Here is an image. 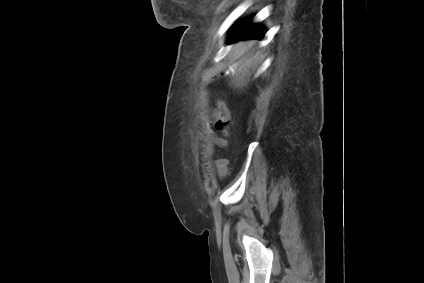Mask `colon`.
Here are the masks:
<instances>
[{
  "label": "colon",
  "mask_w": 424,
  "mask_h": 283,
  "mask_svg": "<svg viewBox=\"0 0 424 283\" xmlns=\"http://www.w3.org/2000/svg\"><path fill=\"white\" fill-rule=\"evenodd\" d=\"M212 117L215 121L213 131L221 134L220 137L216 138V142L219 146H224L226 143L225 136L231 123L230 116L223 106L216 105L213 108Z\"/></svg>",
  "instance_id": "1"
}]
</instances>
